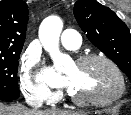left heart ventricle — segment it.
<instances>
[{"instance_id": "b2bd125f", "label": "left heart ventricle", "mask_w": 131, "mask_h": 115, "mask_svg": "<svg viewBox=\"0 0 131 115\" xmlns=\"http://www.w3.org/2000/svg\"><path fill=\"white\" fill-rule=\"evenodd\" d=\"M66 76L72 93L79 97L102 99L113 95L118 89V80L112 68L100 60L84 65H71Z\"/></svg>"}]
</instances>
